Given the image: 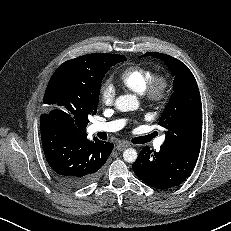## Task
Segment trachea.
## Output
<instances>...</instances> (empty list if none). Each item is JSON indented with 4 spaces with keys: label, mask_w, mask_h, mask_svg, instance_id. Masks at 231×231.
Segmentation results:
<instances>
[{
    "label": "trachea",
    "mask_w": 231,
    "mask_h": 231,
    "mask_svg": "<svg viewBox=\"0 0 231 231\" xmlns=\"http://www.w3.org/2000/svg\"><path fill=\"white\" fill-rule=\"evenodd\" d=\"M154 136V134H151V135H147V136H142V137H138L136 138L138 142V144H142V143H146V142H149Z\"/></svg>",
    "instance_id": "3493384b"
}]
</instances>
